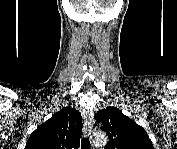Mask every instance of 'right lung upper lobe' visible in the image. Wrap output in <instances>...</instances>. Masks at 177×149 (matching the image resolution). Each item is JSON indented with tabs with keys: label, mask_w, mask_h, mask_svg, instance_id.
<instances>
[{
	"label": "right lung upper lobe",
	"mask_w": 177,
	"mask_h": 149,
	"mask_svg": "<svg viewBox=\"0 0 177 149\" xmlns=\"http://www.w3.org/2000/svg\"><path fill=\"white\" fill-rule=\"evenodd\" d=\"M81 114L64 107L37 127L26 143L25 149H75L80 145L82 133Z\"/></svg>",
	"instance_id": "obj_1"
}]
</instances>
